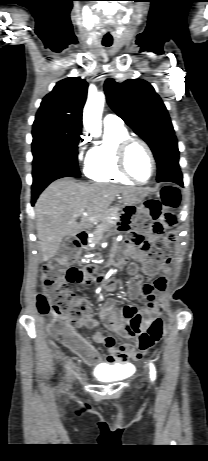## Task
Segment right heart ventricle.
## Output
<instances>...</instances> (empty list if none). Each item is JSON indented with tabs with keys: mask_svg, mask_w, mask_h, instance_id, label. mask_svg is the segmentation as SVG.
Listing matches in <instances>:
<instances>
[{
	"mask_svg": "<svg viewBox=\"0 0 208 461\" xmlns=\"http://www.w3.org/2000/svg\"><path fill=\"white\" fill-rule=\"evenodd\" d=\"M129 133L124 126H105L102 142L94 145L87 153L84 173L97 182L131 183L132 180L121 173L117 166L116 149Z\"/></svg>",
	"mask_w": 208,
	"mask_h": 461,
	"instance_id": "e07e8e85",
	"label": "right heart ventricle"
}]
</instances>
